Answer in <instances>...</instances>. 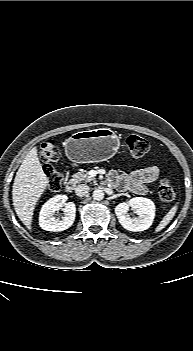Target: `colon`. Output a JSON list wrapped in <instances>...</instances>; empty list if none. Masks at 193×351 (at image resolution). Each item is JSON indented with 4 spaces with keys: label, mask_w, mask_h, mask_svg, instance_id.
Returning a JSON list of instances; mask_svg holds the SVG:
<instances>
[{
    "label": "colon",
    "mask_w": 193,
    "mask_h": 351,
    "mask_svg": "<svg viewBox=\"0 0 193 351\" xmlns=\"http://www.w3.org/2000/svg\"><path fill=\"white\" fill-rule=\"evenodd\" d=\"M126 145L132 155L141 157L149 152L148 141L138 135H130L126 139ZM40 158L46 164V187L49 191H57L64 180L63 173L58 169L56 163L59 158L57 142L54 139L45 140L40 149ZM158 196L164 202H171L177 196V189L173 182L163 177L158 184Z\"/></svg>",
    "instance_id": "5ec220e1"
}]
</instances>
